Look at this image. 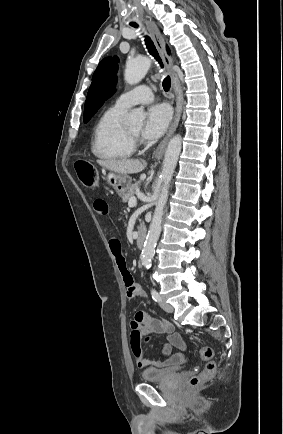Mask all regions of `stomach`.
<instances>
[{"label":"stomach","instance_id":"0dacf381","mask_svg":"<svg viewBox=\"0 0 283 434\" xmlns=\"http://www.w3.org/2000/svg\"><path fill=\"white\" fill-rule=\"evenodd\" d=\"M106 180L120 197H123L128 192L132 182L129 175L115 172H109L106 176Z\"/></svg>","mask_w":283,"mask_h":434}]
</instances>
